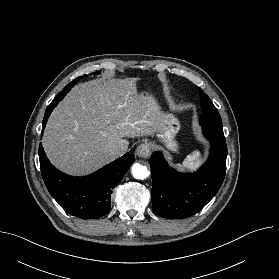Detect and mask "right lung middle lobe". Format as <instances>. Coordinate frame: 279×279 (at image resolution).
<instances>
[{
  "instance_id": "1",
  "label": "right lung middle lobe",
  "mask_w": 279,
  "mask_h": 279,
  "mask_svg": "<svg viewBox=\"0 0 279 279\" xmlns=\"http://www.w3.org/2000/svg\"><path fill=\"white\" fill-rule=\"evenodd\" d=\"M79 80V78H76L75 80H73L72 82H70L64 89H63V91L64 90H67L69 87H73L74 86V84L77 82ZM62 91V92H63ZM61 92V93H62Z\"/></svg>"
}]
</instances>
